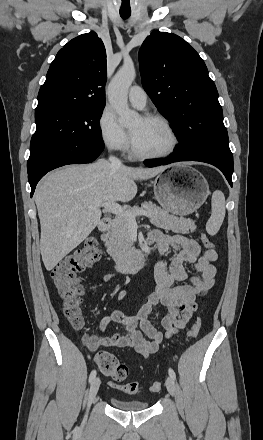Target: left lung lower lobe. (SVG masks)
<instances>
[{
  "label": "left lung lower lobe",
  "mask_w": 263,
  "mask_h": 440,
  "mask_svg": "<svg viewBox=\"0 0 263 440\" xmlns=\"http://www.w3.org/2000/svg\"><path fill=\"white\" fill-rule=\"evenodd\" d=\"M178 161H200L214 165L222 171L229 184L231 186L233 185L231 180L233 174V155L230 151V148L213 150L196 157H186L174 150V153L168 158L159 160H146L144 164L148 167H155L160 165H167Z\"/></svg>",
  "instance_id": "obj_1"
}]
</instances>
